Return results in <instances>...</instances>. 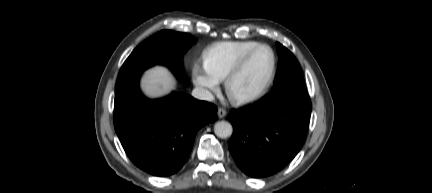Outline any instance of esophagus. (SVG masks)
Instances as JSON below:
<instances>
[{
	"instance_id": "esophagus-1",
	"label": "esophagus",
	"mask_w": 432,
	"mask_h": 193,
	"mask_svg": "<svg viewBox=\"0 0 432 193\" xmlns=\"http://www.w3.org/2000/svg\"><path fill=\"white\" fill-rule=\"evenodd\" d=\"M218 117L219 118H224L227 115V112L225 109L219 107L218 111H217Z\"/></svg>"
}]
</instances>
